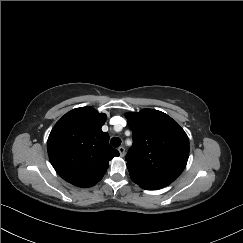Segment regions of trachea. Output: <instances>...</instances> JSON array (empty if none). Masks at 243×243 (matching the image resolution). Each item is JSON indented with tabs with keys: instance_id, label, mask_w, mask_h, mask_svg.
I'll return each mask as SVG.
<instances>
[{
	"instance_id": "obj_1",
	"label": "trachea",
	"mask_w": 243,
	"mask_h": 243,
	"mask_svg": "<svg viewBox=\"0 0 243 243\" xmlns=\"http://www.w3.org/2000/svg\"><path fill=\"white\" fill-rule=\"evenodd\" d=\"M110 143L113 147L117 148L120 146L121 144V139L118 138V137H113L111 140H110Z\"/></svg>"
}]
</instances>
